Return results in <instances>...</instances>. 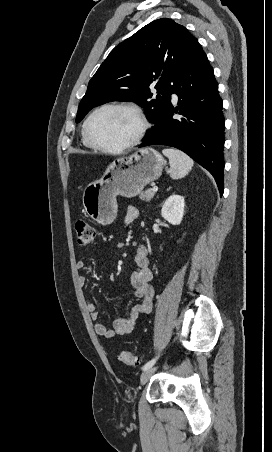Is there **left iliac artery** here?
Instances as JSON below:
<instances>
[{
  "label": "left iliac artery",
  "instance_id": "left-iliac-artery-1",
  "mask_svg": "<svg viewBox=\"0 0 272 452\" xmlns=\"http://www.w3.org/2000/svg\"><path fill=\"white\" fill-rule=\"evenodd\" d=\"M157 358H158V357L153 358L152 360L148 361V362L142 367V370L144 371V370H146V369L152 367V366L155 364Z\"/></svg>",
  "mask_w": 272,
  "mask_h": 452
}]
</instances>
